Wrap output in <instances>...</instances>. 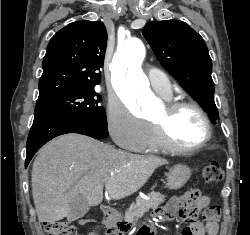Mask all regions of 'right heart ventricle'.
<instances>
[{"label": "right heart ventricle", "instance_id": "1", "mask_svg": "<svg viewBox=\"0 0 250 235\" xmlns=\"http://www.w3.org/2000/svg\"><path fill=\"white\" fill-rule=\"evenodd\" d=\"M163 98L166 100L170 99V97L169 98L163 97ZM164 150H166V148L160 143L154 127L150 125L148 139L144 144V146L140 149V151L145 153H152Z\"/></svg>", "mask_w": 250, "mask_h": 235}]
</instances>
